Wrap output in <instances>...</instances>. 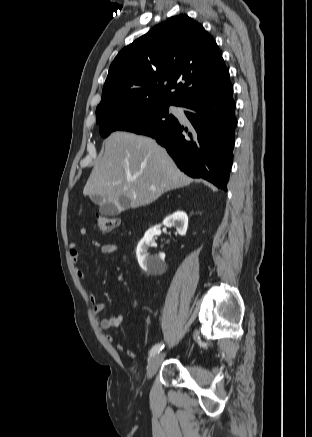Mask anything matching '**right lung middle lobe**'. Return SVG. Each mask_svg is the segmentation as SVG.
<instances>
[{
	"instance_id": "dd1d6c3e",
	"label": "right lung middle lobe",
	"mask_w": 312,
	"mask_h": 437,
	"mask_svg": "<svg viewBox=\"0 0 312 437\" xmlns=\"http://www.w3.org/2000/svg\"><path fill=\"white\" fill-rule=\"evenodd\" d=\"M170 105L164 102H150L116 109L97 120L100 124V134L107 137L115 131H129L143 135L163 131L177 122V119L168 112Z\"/></svg>"
}]
</instances>
